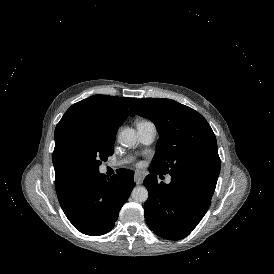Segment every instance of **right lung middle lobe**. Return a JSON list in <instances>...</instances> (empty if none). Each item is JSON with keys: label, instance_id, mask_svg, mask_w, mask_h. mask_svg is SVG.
<instances>
[{"label": "right lung middle lobe", "instance_id": "right-lung-middle-lobe-1", "mask_svg": "<svg viewBox=\"0 0 274 274\" xmlns=\"http://www.w3.org/2000/svg\"><path fill=\"white\" fill-rule=\"evenodd\" d=\"M121 124H91L68 135L59 150V160L73 176L99 171L101 161L114 153Z\"/></svg>", "mask_w": 274, "mask_h": 274}]
</instances>
